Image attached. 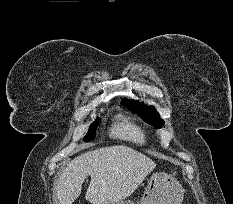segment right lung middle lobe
Here are the masks:
<instances>
[{
	"label": "right lung middle lobe",
	"instance_id": "1",
	"mask_svg": "<svg viewBox=\"0 0 233 204\" xmlns=\"http://www.w3.org/2000/svg\"><path fill=\"white\" fill-rule=\"evenodd\" d=\"M99 121H100V119L97 118L96 121L91 124L88 133L84 137V141L85 142H89V141H91V140L94 139V137H95V130H96L98 124H99Z\"/></svg>",
	"mask_w": 233,
	"mask_h": 204
}]
</instances>
